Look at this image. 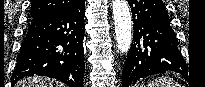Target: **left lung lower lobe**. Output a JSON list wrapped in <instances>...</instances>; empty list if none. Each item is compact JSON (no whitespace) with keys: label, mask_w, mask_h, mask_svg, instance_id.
Listing matches in <instances>:
<instances>
[{"label":"left lung lower lobe","mask_w":205,"mask_h":87,"mask_svg":"<svg viewBox=\"0 0 205 87\" xmlns=\"http://www.w3.org/2000/svg\"><path fill=\"white\" fill-rule=\"evenodd\" d=\"M132 7L133 42L122 73L123 87L166 71L186 75L175 32L161 0H128Z\"/></svg>","instance_id":"0a47b994"}]
</instances>
